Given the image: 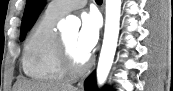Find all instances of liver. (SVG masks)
Instances as JSON below:
<instances>
[{
    "label": "liver",
    "instance_id": "6515ba94",
    "mask_svg": "<svg viewBox=\"0 0 173 91\" xmlns=\"http://www.w3.org/2000/svg\"><path fill=\"white\" fill-rule=\"evenodd\" d=\"M13 91H77L73 86L64 83L33 82L26 79L17 80Z\"/></svg>",
    "mask_w": 173,
    "mask_h": 91
}]
</instances>
